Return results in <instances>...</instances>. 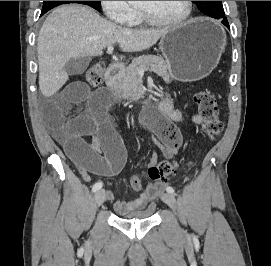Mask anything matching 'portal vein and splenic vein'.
<instances>
[{
  "instance_id": "obj_1",
  "label": "portal vein and splenic vein",
  "mask_w": 271,
  "mask_h": 266,
  "mask_svg": "<svg viewBox=\"0 0 271 266\" xmlns=\"http://www.w3.org/2000/svg\"><path fill=\"white\" fill-rule=\"evenodd\" d=\"M112 51H113V46H108V48H107V53L111 54ZM139 73H140V74H143L144 71H143V70H139Z\"/></svg>"
}]
</instances>
